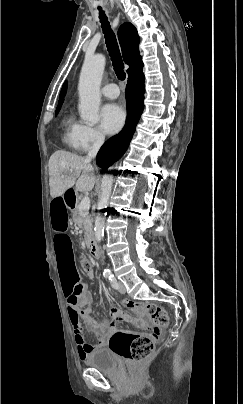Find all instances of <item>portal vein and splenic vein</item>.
Returning a JSON list of instances; mask_svg holds the SVG:
<instances>
[{"label": "portal vein and splenic vein", "mask_w": 243, "mask_h": 404, "mask_svg": "<svg viewBox=\"0 0 243 404\" xmlns=\"http://www.w3.org/2000/svg\"><path fill=\"white\" fill-rule=\"evenodd\" d=\"M69 172H73V170H69ZM89 208H90V198L88 196H84L83 200H81L80 204V215L84 218H87L89 215Z\"/></svg>", "instance_id": "18ae733b"}]
</instances>
